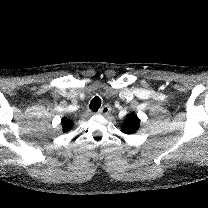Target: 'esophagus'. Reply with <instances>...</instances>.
Returning <instances> with one entry per match:
<instances>
[{
	"label": "esophagus",
	"mask_w": 208,
	"mask_h": 208,
	"mask_svg": "<svg viewBox=\"0 0 208 208\" xmlns=\"http://www.w3.org/2000/svg\"><path fill=\"white\" fill-rule=\"evenodd\" d=\"M110 112H111V107L108 104H106L99 109L98 114L107 116L110 114Z\"/></svg>",
	"instance_id": "obj_1"
}]
</instances>
